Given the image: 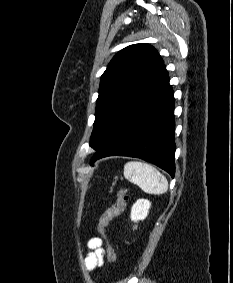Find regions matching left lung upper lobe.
<instances>
[{"mask_svg":"<svg viewBox=\"0 0 233 283\" xmlns=\"http://www.w3.org/2000/svg\"><path fill=\"white\" fill-rule=\"evenodd\" d=\"M164 64L149 44L130 45L110 61L100 81L90 146L98 150Z\"/></svg>","mask_w":233,"mask_h":283,"instance_id":"5c2ea615","label":"left lung upper lobe"}]
</instances>
